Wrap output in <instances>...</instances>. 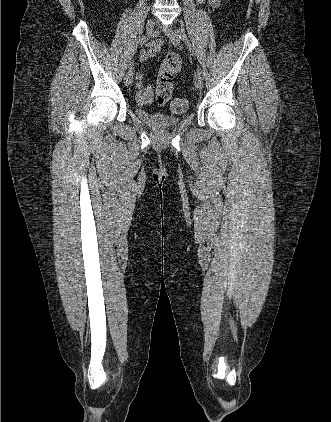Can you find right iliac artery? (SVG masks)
<instances>
[{"mask_svg": "<svg viewBox=\"0 0 331 422\" xmlns=\"http://www.w3.org/2000/svg\"><path fill=\"white\" fill-rule=\"evenodd\" d=\"M149 38H150V37H147V36L143 37V38H142V40H141V43H140V44H141V46H142V45H144V44H145V43L149 40ZM133 66H134V62H132V61H131V62L129 63L128 69H129V70H132V69H133Z\"/></svg>", "mask_w": 331, "mask_h": 422, "instance_id": "82829eb1", "label": "right iliac artery"}]
</instances>
